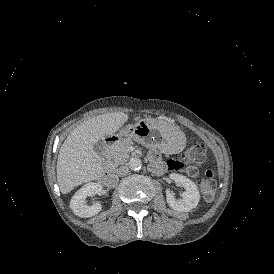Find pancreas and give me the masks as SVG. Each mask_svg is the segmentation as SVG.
<instances>
[{
    "instance_id": "pancreas-1",
    "label": "pancreas",
    "mask_w": 274,
    "mask_h": 274,
    "mask_svg": "<svg viewBox=\"0 0 274 274\" xmlns=\"http://www.w3.org/2000/svg\"><path fill=\"white\" fill-rule=\"evenodd\" d=\"M132 144L130 138H125L120 141H116L114 146L106 148L104 155L115 168L121 164H125L129 158L128 147Z\"/></svg>"
}]
</instances>
